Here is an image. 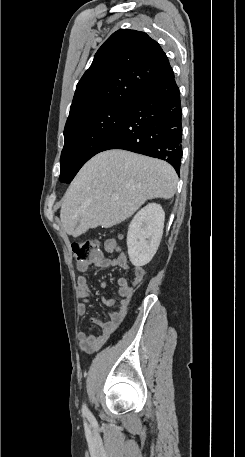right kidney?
<instances>
[{
    "label": "right kidney",
    "instance_id": "right-kidney-1",
    "mask_svg": "<svg viewBox=\"0 0 245 457\" xmlns=\"http://www.w3.org/2000/svg\"><path fill=\"white\" fill-rule=\"evenodd\" d=\"M164 220L165 212L156 202H149L133 216L127 235L132 265L135 257H154L162 239Z\"/></svg>",
    "mask_w": 245,
    "mask_h": 457
}]
</instances>
